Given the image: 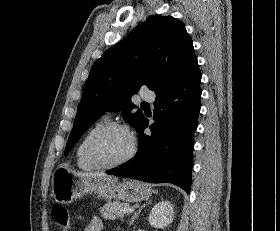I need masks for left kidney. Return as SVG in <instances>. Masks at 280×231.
<instances>
[{
  "label": "left kidney",
  "instance_id": "5707ae66",
  "mask_svg": "<svg viewBox=\"0 0 280 231\" xmlns=\"http://www.w3.org/2000/svg\"><path fill=\"white\" fill-rule=\"evenodd\" d=\"M173 219V203L168 201V199H165V201H158V203L152 207L149 215V223H151L152 227H161V229H164L169 223H172Z\"/></svg>",
  "mask_w": 280,
  "mask_h": 231
}]
</instances>
